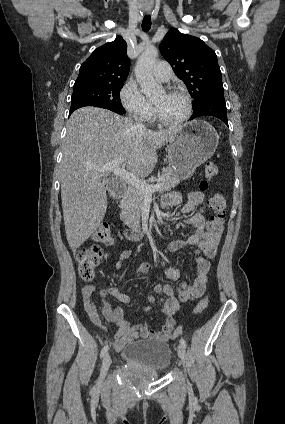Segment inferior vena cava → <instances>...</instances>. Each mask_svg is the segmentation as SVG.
I'll list each match as a JSON object with an SVG mask.
<instances>
[{
  "instance_id": "obj_1",
  "label": "inferior vena cava",
  "mask_w": 285,
  "mask_h": 424,
  "mask_svg": "<svg viewBox=\"0 0 285 424\" xmlns=\"http://www.w3.org/2000/svg\"><path fill=\"white\" fill-rule=\"evenodd\" d=\"M136 125H137L138 128L143 129V130H146V127H145V125L143 123L138 122V123H136Z\"/></svg>"
}]
</instances>
